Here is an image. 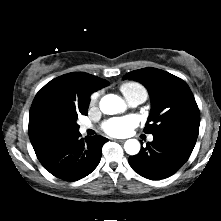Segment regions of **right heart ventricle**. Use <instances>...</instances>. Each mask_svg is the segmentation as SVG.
Wrapping results in <instances>:
<instances>
[{
  "mask_svg": "<svg viewBox=\"0 0 221 221\" xmlns=\"http://www.w3.org/2000/svg\"><path fill=\"white\" fill-rule=\"evenodd\" d=\"M120 91L122 92L125 98H128L136 94H144L145 96H147L145 88L141 84L136 82L123 83L120 86Z\"/></svg>",
  "mask_w": 221,
  "mask_h": 221,
  "instance_id": "obj_1",
  "label": "right heart ventricle"
}]
</instances>
